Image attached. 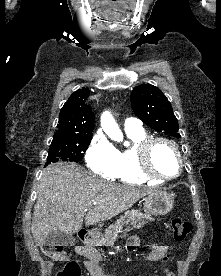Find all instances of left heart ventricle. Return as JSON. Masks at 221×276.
I'll list each match as a JSON object with an SVG mask.
<instances>
[{
  "label": "left heart ventricle",
  "mask_w": 221,
  "mask_h": 276,
  "mask_svg": "<svg viewBox=\"0 0 221 276\" xmlns=\"http://www.w3.org/2000/svg\"><path fill=\"white\" fill-rule=\"evenodd\" d=\"M151 161L154 170L161 175H173L178 170L177 157L172 148L166 143H157L151 152Z\"/></svg>",
  "instance_id": "b2bd125f"
}]
</instances>
